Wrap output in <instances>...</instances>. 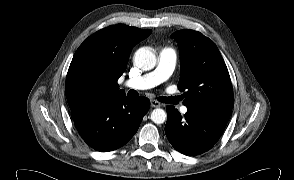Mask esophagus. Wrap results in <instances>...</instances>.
Returning <instances> with one entry per match:
<instances>
[{
    "instance_id": "1",
    "label": "esophagus",
    "mask_w": 294,
    "mask_h": 180,
    "mask_svg": "<svg viewBox=\"0 0 294 180\" xmlns=\"http://www.w3.org/2000/svg\"><path fill=\"white\" fill-rule=\"evenodd\" d=\"M160 106H161L160 102H158L156 100H151V107L157 108V107H160Z\"/></svg>"
}]
</instances>
